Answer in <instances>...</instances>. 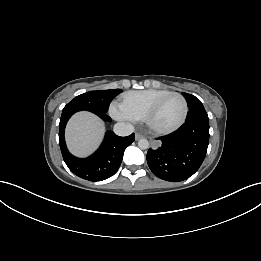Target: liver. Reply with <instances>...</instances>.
<instances>
[{"label": "liver", "mask_w": 261, "mask_h": 261, "mask_svg": "<svg viewBox=\"0 0 261 261\" xmlns=\"http://www.w3.org/2000/svg\"><path fill=\"white\" fill-rule=\"evenodd\" d=\"M104 132V123L96 115L86 111L78 112L66 127L68 148L74 155L86 157L98 148Z\"/></svg>", "instance_id": "obj_1"}]
</instances>
